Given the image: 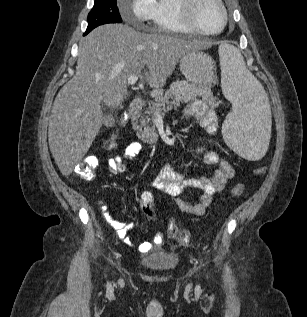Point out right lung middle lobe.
Wrapping results in <instances>:
<instances>
[{
	"label": "right lung middle lobe",
	"mask_w": 307,
	"mask_h": 317,
	"mask_svg": "<svg viewBox=\"0 0 307 317\" xmlns=\"http://www.w3.org/2000/svg\"><path fill=\"white\" fill-rule=\"evenodd\" d=\"M120 22H122V18L116 0H95L93 8L88 14V27L85 35L99 25Z\"/></svg>",
	"instance_id": "1"
}]
</instances>
